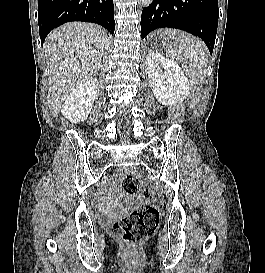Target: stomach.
<instances>
[{
    "label": "stomach",
    "mask_w": 265,
    "mask_h": 273,
    "mask_svg": "<svg viewBox=\"0 0 265 273\" xmlns=\"http://www.w3.org/2000/svg\"><path fill=\"white\" fill-rule=\"evenodd\" d=\"M176 30H157V35H149V40H142L146 49H171ZM159 56H165V51H159Z\"/></svg>",
    "instance_id": "0dacf381"
}]
</instances>
